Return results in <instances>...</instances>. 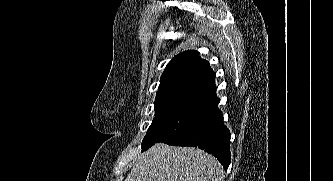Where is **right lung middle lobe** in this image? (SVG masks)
I'll use <instances>...</instances> for the list:
<instances>
[{"mask_svg":"<svg viewBox=\"0 0 333 181\" xmlns=\"http://www.w3.org/2000/svg\"><path fill=\"white\" fill-rule=\"evenodd\" d=\"M208 111L186 107L156 108L152 121L143 141V151L158 142L173 141L191 130Z\"/></svg>","mask_w":333,"mask_h":181,"instance_id":"obj_1","label":"right lung middle lobe"}]
</instances>
